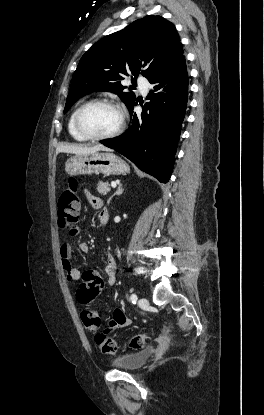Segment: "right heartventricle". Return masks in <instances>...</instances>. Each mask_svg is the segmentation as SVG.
<instances>
[{
	"label": "right heart ventricle",
	"mask_w": 264,
	"mask_h": 415,
	"mask_svg": "<svg viewBox=\"0 0 264 415\" xmlns=\"http://www.w3.org/2000/svg\"><path fill=\"white\" fill-rule=\"evenodd\" d=\"M84 104V103H83ZM83 104H80L79 106H77L73 111H72V113L70 114V116H69V119H68V124H67V128H68V132H69V134H70V136L72 137V138H74L75 140H77L78 142H86L87 141V139L86 138H84V137H82L77 131H76V129H75V126H74V117H75V114H76V112H77V110L79 109V107L81 106V105H83Z\"/></svg>",
	"instance_id": "right-heart-ventricle-1"
}]
</instances>
